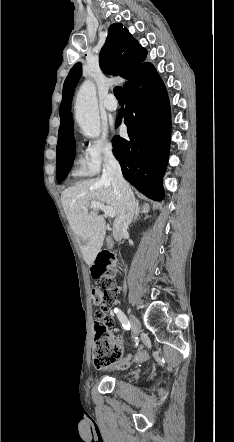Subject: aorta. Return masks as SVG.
Returning <instances> with one entry per match:
<instances>
[{
    "label": "aorta",
    "instance_id": "1",
    "mask_svg": "<svg viewBox=\"0 0 234 442\" xmlns=\"http://www.w3.org/2000/svg\"><path fill=\"white\" fill-rule=\"evenodd\" d=\"M76 120L84 135L98 137L100 134V118L95 85L86 81L80 87L75 105Z\"/></svg>",
    "mask_w": 234,
    "mask_h": 442
}]
</instances>
